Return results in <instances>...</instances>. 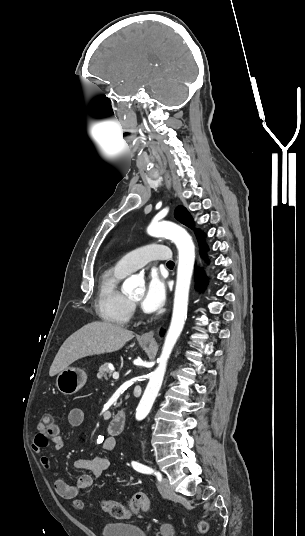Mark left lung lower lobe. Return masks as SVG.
Segmentation results:
<instances>
[{
	"label": "left lung lower lobe",
	"mask_w": 305,
	"mask_h": 536,
	"mask_svg": "<svg viewBox=\"0 0 305 536\" xmlns=\"http://www.w3.org/2000/svg\"><path fill=\"white\" fill-rule=\"evenodd\" d=\"M204 237H205L204 233L200 234L197 237L201 253H205L206 250L208 249L207 245L204 243ZM195 272H196V284L198 288L202 290L204 289L206 285V280L204 278V275L200 272L199 268H196ZM161 333H163V331H161Z\"/></svg>",
	"instance_id": "left-lung-lower-lobe-1"
}]
</instances>
